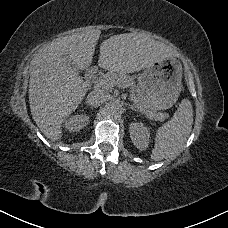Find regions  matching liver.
<instances>
[{"instance_id": "1", "label": "liver", "mask_w": 228, "mask_h": 228, "mask_svg": "<svg viewBox=\"0 0 228 228\" xmlns=\"http://www.w3.org/2000/svg\"><path fill=\"white\" fill-rule=\"evenodd\" d=\"M101 31L85 32L56 39L31 60L29 103L33 120L51 141L61 137V125L82 102L88 85L71 70H87L93 61ZM164 43L143 34L110 36L100 45L98 66L116 73H134L176 56Z\"/></svg>"}]
</instances>
